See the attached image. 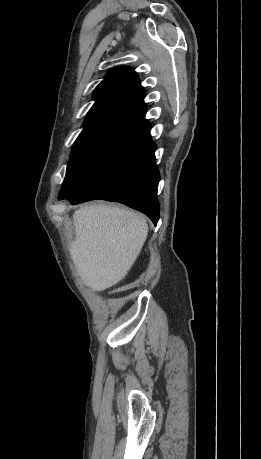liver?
Here are the masks:
<instances>
[{
    "mask_svg": "<svg viewBox=\"0 0 261 459\" xmlns=\"http://www.w3.org/2000/svg\"><path fill=\"white\" fill-rule=\"evenodd\" d=\"M75 241L71 258L84 283L103 291L129 272L148 235L146 218L104 203L90 204L73 214Z\"/></svg>",
    "mask_w": 261,
    "mask_h": 459,
    "instance_id": "1",
    "label": "liver"
}]
</instances>
